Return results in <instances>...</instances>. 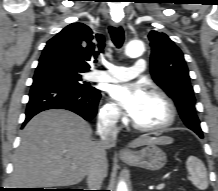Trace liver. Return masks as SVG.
Here are the masks:
<instances>
[{
    "mask_svg": "<svg viewBox=\"0 0 218 191\" xmlns=\"http://www.w3.org/2000/svg\"><path fill=\"white\" fill-rule=\"evenodd\" d=\"M92 129L80 116L61 109L46 110L25 126L14 155L11 184L16 188L65 187L80 183L101 149ZM173 143L168 136H140L129 144ZM106 155V152H105Z\"/></svg>",
    "mask_w": 218,
    "mask_h": 191,
    "instance_id": "obj_1",
    "label": "liver"
}]
</instances>
